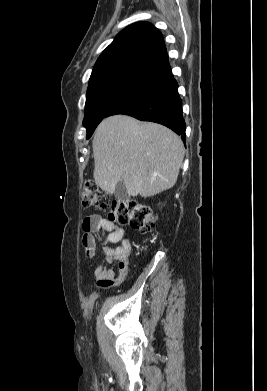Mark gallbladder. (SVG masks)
Masks as SVG:
<instances>
[{
  "mask_svg": "<svg viewBox=\"0 0 267 391\" xmlns=\"http://www.w3.org/2000/svg\"><path fill=\"white\" fill-rule=\"evenodd\" d=\"M115 197L117 198L118 201H128L129 200V194L127 192V189L125 187V184L123 183V181H119L117 184H116V188H115Z\"/></svg>",
  "mask_w": 267,
  "mask_h": 391,
  "instance_id": "bac80fb5",
  "label": "gallbladder"
}]
</instances>
